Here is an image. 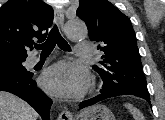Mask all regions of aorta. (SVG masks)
<instances>
[{"mask_svg": "<svg viewBox=\"0 0 165 120\" xmlns=\"http://www.w3.org/2000/svg\"><path fill=\"white\" fill-rule=\"evenodd\" d=\"M65 33L70 39H82L87 36V27L82 20L71 19L65 24Z\"/></svg>", "mask_w": 165, "mask_h": 120, "instance_id": "aorta-1", "label": "aorta"}]
</instances>
